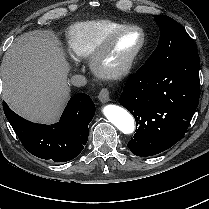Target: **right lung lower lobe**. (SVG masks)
<instances>
[{
  "instance_id": "1",
  "label": "right lung lower lobe",
  "mask_w": 209,
  "mask_h": 209,
  "mask_svg": "<svg viewBox=\"0 0 209 209\" xmlns=\"http://www.w3.org/2000/svg\"><path fill=\"white\" fill-rule=\"evenodd\" d=\"M3 109L25 149L38 158L55 162L70 161L80 154L88 140V124L95 114L94 103L85 93L73 96L60 121L52 125L27 121L5 102Z\"/></svg>"
}]
</instances>
